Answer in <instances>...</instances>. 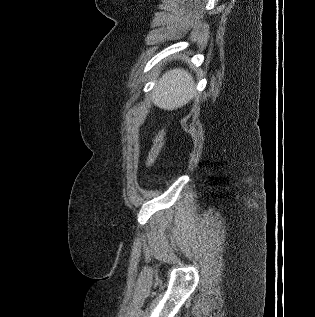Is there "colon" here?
I'll return each mask as SVG.
<instances>
[{
	"label": "colon",
	"instance_id": "colon-1",
	"mask_svg": "<svg viewBox=\"0 0 315 317\" xmlns=\"http://www.w3.org/2000/svg\"><path fill=\"white\" fill-rule=\"evenodd\" d=\"M165 137H166V130L165 128H161L157 135L155 136L153 140L152 147L148 153L147 159H146V168L150 169L154 166L157 158L159 157L162 148L164 146L165 142Z\"/></svg>",
	"mask_w": 315,
	"mask_h": 317
}]
</instances>
